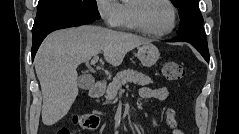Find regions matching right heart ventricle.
Listing matches in <instances>:
<instances>
[{
  "instance_id": "1",
  "label": "right heart ventricle",
  "mask_w": 239,
  "mask_h": 134,
  "mask_svg": "<svg viewBox=\"0 0 239 134\" xmlns=\"http://www.w3.org/2000/svg\"><path fill=\"white\" fill-rule=\"evenodd\" d=\"M134 0L123 1L120 4V22L119 26L126 30H136L131 16V7Z\"/></svg>"
}]
</instances>
